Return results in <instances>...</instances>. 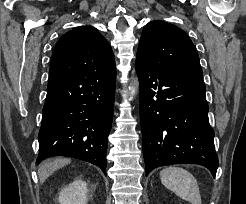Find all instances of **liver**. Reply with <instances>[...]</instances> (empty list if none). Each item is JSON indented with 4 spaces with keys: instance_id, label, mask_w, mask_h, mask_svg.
I'll list each match as a JSON object with an SVG mask.
<instances>
[{
    "instance_id": "1",
    "label": "liver",
    "mask_w": 246,
    "mask_h": 204,
    "mask_svg": "<svg viewBox=\"0 0 246 204\" xmlns=\"http://www.w3.org/2000/svg\"><path fill=\"white\" fill-rule=\"evenodd\" d=\"M70 159L66 158H57L53 161L46 162L42 164L38 170V177L40 183H44L46 179L52 175L56 170L64 167L65 165L70 163Z\"/></svg>"
}]
</instances>
